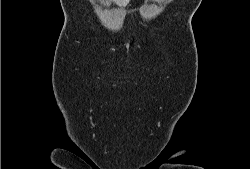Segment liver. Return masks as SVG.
I'll return each instance as SVG.
<instances>
[{"label":"liver","instance_id":"obj_1","mask_svg":"<svg viewBox=\"0 0 250 169\" xmlns=\"http://www.w3.org/2000/svg\"><path fill=\"white\" fill-rule=\"evenodd\" d=\"M115 2H117V4H120V6H122V4H126L127 0H115Z\"/></svg>","mask_w":250,"mask_h":169}]
</instances>
